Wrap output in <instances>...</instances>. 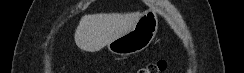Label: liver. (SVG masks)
<instances>
[{
    "mask_svg": "<svg viewBox=\"0 0 244 73\" xmlns=\"http://www.w3.org/2000/svg\"><path fill=\"white\" fill-rule=\"evenodd\" d=\"M140 12L85 15L75 31V43L83 51L97 52L110 41L132 29Z\"/></svg>",
    "mask_w": 244,
    "mask_h": 73,
    "instance_id": "1",
    "label": "liver"
}]
</instances>
